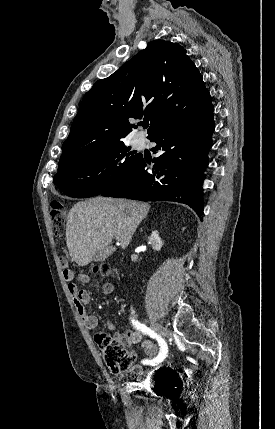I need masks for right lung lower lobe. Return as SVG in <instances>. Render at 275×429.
<instances>
[{"instance_id":"right-lung-lower-lobe-1","label":"right lung lower lobe","mask_w":275,"mask_h":429,"mask_svg":"<svg viewBox=\"0 0 275 429\" xmlns=\"http://www.w3.org/2000/svg\"><path fill=\"white\" fill-rule=\"evenodd\" d=\"M213 108L203 116L157 131L149 139L157 143L151 170L143 157L117 184L102 196L142 201H175L203 214V171L212 145ZM149 163V162H148Z\"/></svg>"}]
</instances>
